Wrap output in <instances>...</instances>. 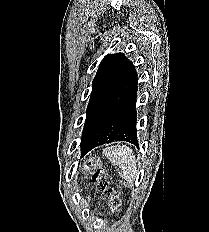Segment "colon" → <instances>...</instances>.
Segmentation results:
<instances>
[{
  "instance_id": "1",
  "label": "colon",
  "mask_w": 209,
  "mask_h": 232,
  "mask_svg": "<svg viewBox=\"0 0 209 232\" xmlns=\"http://www.w3.org/2000/svg\"><path fill=\"white\" fill-rule=\"evenodd\" d=\"M89 169L93 181L98 185L99 189L108 197L111 207L116 209L119 206V198L110 188L107 176L103 173L101 165L96 160L89 162Z\"/></svg>"
}]
</instances>
